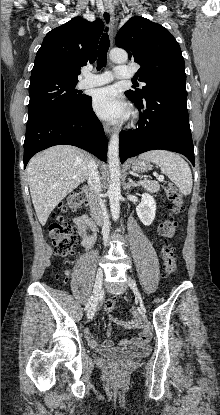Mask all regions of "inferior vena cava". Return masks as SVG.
I'll return each instance as SVG.
<instances>
[{"instance_id": "602c4592", "label": "inferior vena cava", "mask_w": 220, "mask_h": 415, "mask_svg": "<svg viewBox=\"0 0 220 415\" xmlns=\"http://www.w3.org/2000/svg\"><path fill=\"white\" fill-rule=\"evenodd\" d=\"M88 184L90 186V206L93 211V217L102 226V233L105 245L109 239L110 222L106 213L104 201L101 199L100 190L101 183L98 172V166L94 159H91L88 164Z\"/></svg>"}]
</instances>
